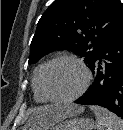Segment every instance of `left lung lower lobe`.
I'll list each match as a JSON object with an SVG mask.
<instances>
[{
	"label": "left lung lower lobe",
	"mask_w": 123,
	"mask_h": 130,
	"mask_svg": "<svg viewBox=\"0 0 123 130\" xmlns=\"http://www.w3.org/2000/svg\"><path fill=\"white\" fill-rule=\"evenodd\" d=\"M90 67L94 82L75 103L99 105L123 118V21Z\"/></svg>",
	"instance_id": "obj_1"
}]
</instances>
